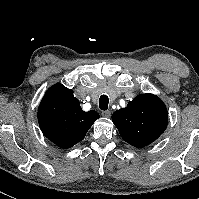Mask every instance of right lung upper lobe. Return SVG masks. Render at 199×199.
<instances>
[{
	"instance_id": "obj_1",
	"label": "right lung upper lobe",
	"mask_w": 199,
	"mask_h": 199,
	"mask_svg": "<svg viewBox=\"0 0 199 199\" xmlns=\"http://www.w3.org/2000/svg\"><path fill=\"white\" fill-rule=\"evenodd\" d=\"M98 118L94 110L83 111L73 90L60 83L47 90L38 108V121L44 136L61 148L80 142Z\"/></svg>"
}]
</instances>
